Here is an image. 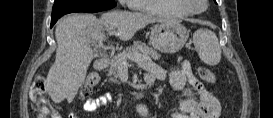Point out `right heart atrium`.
Here are the masks:
<instances>
[{
    "label": "right heart atrium",
    "instance_id": "1",
    "mask_svg": "<svg viewBox=\"0 0 273 118\" xmlns=\"http://www.w3.org/2000/svg\"><path fill=\"white\" fill-rule=\"evenodd\" d=\"M122 3H129V0H122Z\"/></svg>",
    "mask_w": 273,
    "mask_h": 118
}]
</instances>
